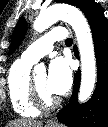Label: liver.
Masks as SVG:
<instances>
[{
	"mask_svg": "<svg viewBox=\"0 0 108 127\" xmlns=\"http://www.w3.org/2000/svg\"><path fill=\"white\" fill-rule=\"evenodd\" d=\"M42 121H36L31 119H18L9 122L6 127H42Z\"/></svg>",
	"mask_w": 108,
	"mask_h": 127,
	"instance_id": "6515ba94",
	"label": "liver"
}]
</instances>
